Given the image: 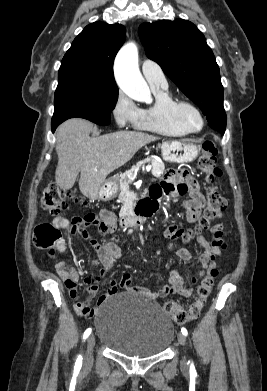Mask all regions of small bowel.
<instances>
[{"instance_id":"small-bowel-1","label":"small bowel","mask_w":267,"mask_h":391,"mask_svg":"<svg viewBox=\"0 0 267 391\" xmlns=\"http://www.w3.org/2000/svg\"><path fill=\"white\" fill-rule=\"evenodd\" d=\"M151 202L156 207L158 201L163 198H171L177 196L188 195L183 201V207L186 212V220L193 223L199 220L202 208L205 205V198L199 190L196 181L185 170L168 169L158 184H155L150 189ZM107 230L113 231L117 225V219L114 212L109 209H104L99 214ZM95 220L94 215H86L85 217H61L55 220V227L65 231L81 235L83 238H89L86 227L92 224ZM184 229L176 225H170L166 228L164 234L172 240L179 239L184 235ZM197 243L203 249V252L198 256V264L201 268L197 276H192V284H196L198 278L207 277L211 270L215 269V259L222 255L226 244L223 240V225L217 224L212 229V238L206 239L204 236L197 237ZM56 250L59 253L66 251V241L60 239L56 244ZM99 262L103 269L96 276L86 277L84 283L87 287L88 294L75 304L76 311L83 316H92L96 308L92 306L91 300L98 293V286L101 278L108 272L112 271L115 263L121 258L122 251L116 242H107L104 246L97 248ZM176 255L184 262L192 259L191 253L185 248H179ZM56 272L64 281L66 288L73 298L78 297V282L80 280L79 272L72 267H69L64 261H59L56 266ZM118 287L130 292H138L147 296L151 300H158L167 297L171 294L188 297L192 293V289L188 287L185 280L179 271H172L168 282L158 291H151L147 288L132 286L131 277L129 274H123L118 281H111L108 292L102 295L99 299V304L103 303L111 295L115 294Z\"/></svg>"}]
</instances>
